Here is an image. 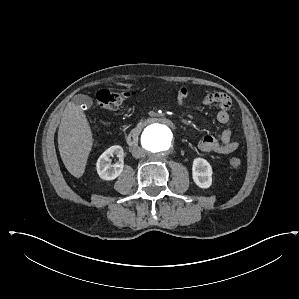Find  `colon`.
I'll return each instance as SVG.
<instances>
[{"label": "colon", "mask_w": 299, "mask_h": 299, "mask_svg": "<svg viewBox=\"0 0 299 299\" xmlns=\"http://www.w3.org/2000/svg\"><path fill=\"white\" fill-rule=\"evenodd\" d=\"M130 94L127 92H118L112 90H101L97 93L98 105L102 110L115 111L121 105H123ZM242 161L239 158H232L230 160V166L237 169L241 166Z\"/></svg>", "instance_id": "5ec220e1"}]
</instances>
